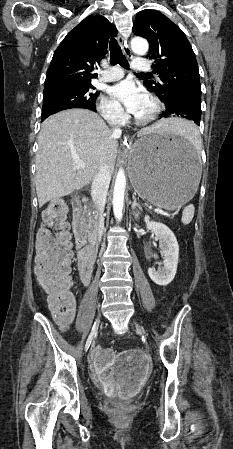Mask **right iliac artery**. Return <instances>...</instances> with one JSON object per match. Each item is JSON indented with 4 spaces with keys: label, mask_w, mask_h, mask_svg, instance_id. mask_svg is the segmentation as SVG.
Masks as SVG:
<instances>
[{
    "label": "right iliac artery",
    "mask_w": 233,
    "mask_h": 449,
    "mask_svg": "<svg viewBox=\"0 0 233 449\" xmlns=\"http://www.w3.org/2000/svg\"><path fill=\"white\" fill-rule=\"evenodd\" d=\"M93 327H95V324H94V326ZM91 343V342H90ZM90 343L89 342H87L86 343V345H85V349L87 350L88 348H89V346H90Z\"/></svg>",
    "instance_id": "1"
}]
</instances>
